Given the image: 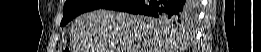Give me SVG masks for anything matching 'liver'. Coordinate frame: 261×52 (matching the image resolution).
<instances>
[{"mask_svg":"<svg viewBox=\"0 0 261 52\" xmlns=\"http://www.w3.org/2000/svg\"><path fill=\"white\" fill-rule=\"evenodd\" d=\"M173 24L153 17L98 9L71 25L73 52H178Z\"/></svg>","mask_w":261,"mask_h":52,"instance_id":"liver-1","label":"liver"}]
</instances>
